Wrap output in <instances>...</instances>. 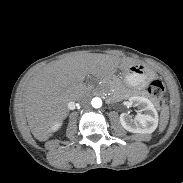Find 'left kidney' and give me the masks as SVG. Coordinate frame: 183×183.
<instances>
[{
  "instance_id": "left-kidney-1",
  "label": "left kidney",
  "mask_w": 183,
  "mask_h": 183,
  "mask_svg": "<svg viewBox=\"0 0 183 183\" xmlns=\"http://www.w3.org/2000/svg\"><path fill=\"white\" fill-rule=\"evenodd\" d=\"M129 102L131 105L137 106L139 111L134 119L127 113L120 115V123L123 128L132 133L150 134L154 132L159 119L153 103L140 96L130 97Z\"/></svg>"
}]
</instances>
